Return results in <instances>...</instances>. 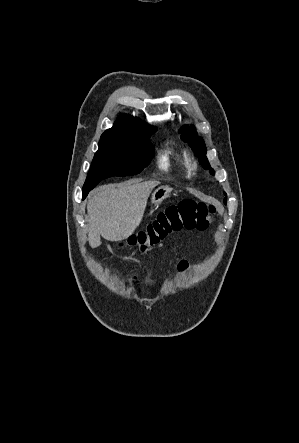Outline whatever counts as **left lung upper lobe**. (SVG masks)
<instances>
[{
  "label": "left lung upper lobe",
  "mask_w": 299,
  "mask_h": 443,
  "mask_svg": "<svg viewBox=\"0 0 299 443\" xmlns=\"http://www.w3.org/2000/svg\"><path fill=\"white\" fill-rule=\"evenodd\" d=\"M182 133V139L189 142L190 146L192 147L193 151L195 152V155L199 157L200 164L205 169H210V165L208 163V160L206 158V147L204 145V142L201 137H198L195 133L194 127L191 126L187 128V126H184L179 131ZM210 173L214 174L213 169H210ZM226 195V194H225ZM226 202V199H225Z\"/></svg>",
  "instance_id": "1"
}]
</instances>
